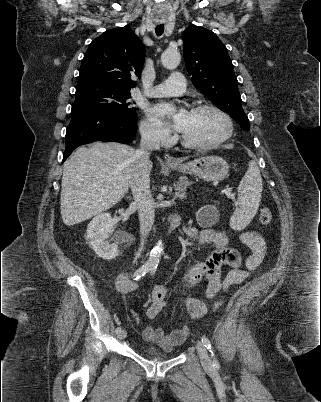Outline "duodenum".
<instances>
[{"label": "duodenum", "instance_id": "410a0bca", "mask_svg": "<svg viewBox=\"0 0 321 402\" xmlns=\"http://www.w3.org/2000/svg\"><path fill=\"white\" fill-rule=\"evenodd\" d=\"M181 223V218L177 213H173L169 216L168 222L166 225V232L170 233Z\"/></svg>", "mask_w": 321, "mask_h": 402}]
</instances>
